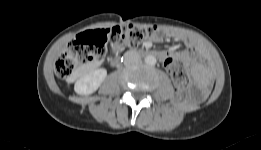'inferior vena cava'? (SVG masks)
<instances>
[{
    "label": "inferior vena cava",
    "instance_id": "inferior-vena-cava-1",
    "mask_svg": "<svg viewBox=\"0 0 261 150\" xmlns=\"http://www.w3.org/2000/svg\"><path fill=\"white\" fill-rule=\"evenodd\" d=\"M141 60L140 55L136 51H127L124 54V64L125 65H132V64H137Z\"/></svg>",
    "mask_w": 261,
    "mask_h": 150
}]
</instances>
